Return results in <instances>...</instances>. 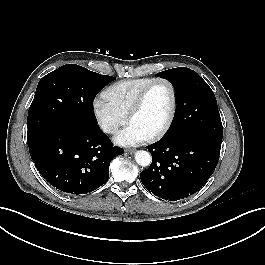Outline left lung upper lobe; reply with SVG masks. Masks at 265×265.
I'll return each mask as SVG.
<instances>
[{
	"instance_id": "left-lung-upper-lobe-1",
	"label": "left lung upper lobe",
	"mask_w": 265,
	"mask_h": 265,
	"mask_svg": "<svg viewBox=\"0 0 265 265\" xmlns=\"http://www.w3.org/2000/svg\"><path fill=\"white\" fill-rule=\"evenodd\" d=\"M157 76L172 83L177 97L175 119L165 138L190 131L222 138L223 128L215 95L195 71L178 67L157 73Z\"/></svg>"
}]
</instances>
